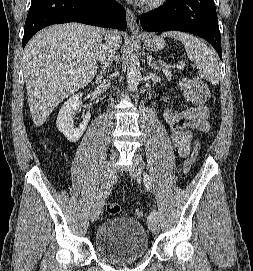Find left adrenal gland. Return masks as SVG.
<instances>
[{
	"label": "left adrenal gland",
	"instance_id": "1",
	"mask_svg": "<svg viewBox=\"0 0 253 271\" xmlns=\"http://www.w3.org/2000/svg\"><path fill=\"white\" fill-rule=\"evenodd\" d=\"M147 63H148V66L151 67V69H154V71L160 72L161 67L157 65L155 61H153L152 55H149V54L147 55Z\"/></svg>",
	"mask_w": 253,
	"mask_h": 271
}]
</instances>
